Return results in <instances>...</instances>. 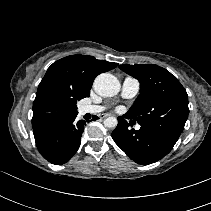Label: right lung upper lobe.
<instances>
[{
  "label": "right lung upper lobe",
  "instance_id": "right-lung-upper-lobe-1",
  "mask_svg": "<svg viewBox=\"0 0 211 211\" xmlns=\"http://www.w3.org/2000/svg\"><path fill=\"white\" fill-rule=\"evenodd\" d=\"M117 65L86 55H71L54 62L38 86L33 131L77 113V101L90 96L95 77Z\"/></svg>",
  "mask_w": 211,
  "mask_h": 211
}]
</instances>
